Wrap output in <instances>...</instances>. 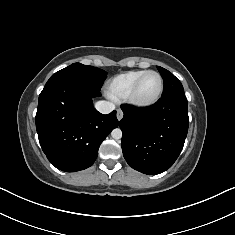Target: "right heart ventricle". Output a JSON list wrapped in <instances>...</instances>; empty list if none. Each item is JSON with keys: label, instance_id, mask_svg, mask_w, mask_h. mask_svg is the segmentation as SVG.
I'll use <instances>...</instances> for the list:
<instances>
[{"label": "right heart ventricle", "instance_id": "e07e8e85", "mask_svg": "<svg viewBox=\"0 0 235 235\" xmlns=\"http://www.w3.org/2000/svg\"><path fill=\"white\" fill-rule=\"evenodd\" d=\"M146 70H132L118 74L107 84V94L113 99H125L136 79Z\"/></svg>", "mask_w": 235, "mask_h": 235}]
</instances>
